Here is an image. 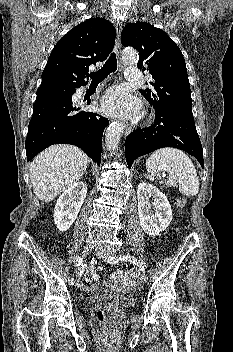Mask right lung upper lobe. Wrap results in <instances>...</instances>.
Instances as JSON below:
<instances>
[{
	"mask_svg": "<svg viewBox=\"0 0 233 352\" xmlns=\"http://www.w3.org/2000/svg\"><path fill=\"white\" fill-rule=\"evenodd\" d=\"M115 36L114 26L103 18H91L72 28L53 48L40 87L86 85L89 66L108 57Z\"/></svg>",
	"mask_w": 233,
	"mask_h": 352,
	"instance_id": "cb5924a9",
	"label": "right lung upper lobe"
}]
</instances>
